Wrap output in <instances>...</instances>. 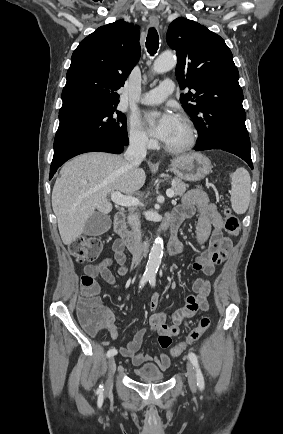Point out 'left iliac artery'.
<instances>
[{"mask_svg": "<svg viewBox=\"0 0 283 434\" xmlns=\"http://www.w3.org/2000/svg\"><path fill=\"white\" fill-rule=\"evenodd\" d=\"M149 283H150V285H151L152 287H154L155 284H156V279H155V277H151V278L149 279ZM188 358H189V360L191 361V363L193 364V366H194V368H195V371H196L197 386L199 387L200 390H203V389H204V385H205V384H204V377H203V374H202V372H201V370H200V368H199V364H198L197 356H196L195 353L190 352V353L188 354Z\"/></svg>", "mask_w": 283, "mask_h": 434, "instance_id": "44dca946", "label": "left iliac artery"}]
</instances>
